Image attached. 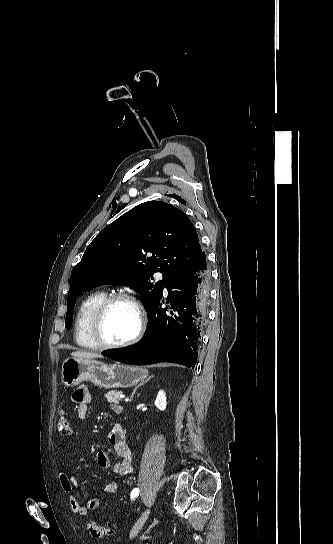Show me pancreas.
Masks as SVG:
<instances>
[{"label": "pancreas", "mask_w": 333, "mask_h": 544, "mask_svg": "<svg viewBox=\"0 0 333 544\" xmlns=\"http://www.w3.org/2000/svg\"><path fill=\"white\" fill-rule=\"evenodd\" d=\"M122 392L121 391H115V390H112V391H109L105 394V398L108 402L110 403H115V404H118L119 401H120V398H119V395L121 394Z\"/></svg>", "instance_id": "cf45deb5"}]
</instances>
